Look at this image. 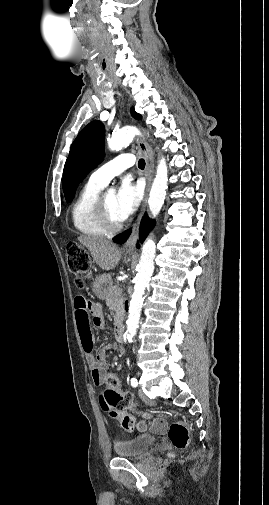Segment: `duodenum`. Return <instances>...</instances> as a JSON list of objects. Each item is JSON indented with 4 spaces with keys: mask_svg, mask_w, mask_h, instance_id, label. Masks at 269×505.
Segmentation results:
<instances>
[{
    "mask_svg": "<svg viewBox=\"0 0 269 505\" xmlns=\"http://www.w3.org/2000/svg\"><path fill=\"white\" fill-rule=\"evenodd\" d=\"M124 330H125V327H124L123 322L118 321L115 325L114 334H115L116 340L120 343L123 341Z\"/></svg>",
    "mask_w": 269,
    "mask_h": 505,
    "instance_id": "obj_1",
    "label": "duodenum"
}]
</instances>
